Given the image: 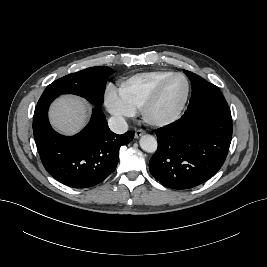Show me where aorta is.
Listing matches in <instances>:
<instances>
[{
  "instance_id": "aorta-1",
  "label": "aorta",
  "mask_w": 267,
  "mask_h": 267,
  "mask_svg": "<svg viewBox=\"0 0 267 267\" xmlns=\"http://www.w3.org/2000/svg\"><path fill=\"white\" fill-rule=\"evenodd\" d=\"M139 143L140 147L147 153H154L157 150V140L152 135H143Z\"/></svg>"
}]
</instances>
